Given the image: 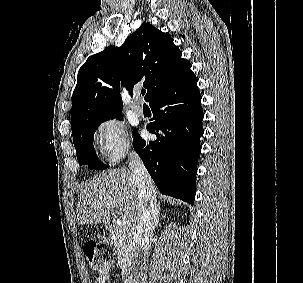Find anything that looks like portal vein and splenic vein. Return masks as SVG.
I'll list each match as a JSON object with an SVG mask.
<instances>
[{
	"mask_svg": "<svg viewBox=\"0 0 303 283\" xmlns=\"http://www.w3.org/2000/svg\"><path fill=\"white\" fill-rule=\"evenodd\" d=\"M121 225H123L125 228H128L129 227V225H130V223H129V221L128 220H122L121 221Z\"/></svg>",
	"mask_w": 303,
	"mask_h": 283,
	"instance_id": "portal-vein-and-splenic-vein-1",
	"label": "portal vein and splenic vein"
}]
</instances>
